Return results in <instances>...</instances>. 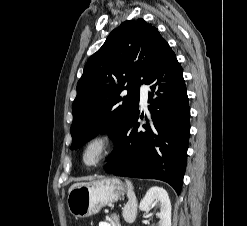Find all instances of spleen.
<instances>
[{"mask_svg": "<svg viewBox=\"0 0 247 226\" xmlns=\"http://www.w3.org/2000/svg\"><path fill=\"white\" fill-rule=\"evenodd\" d=\"M126 185L128 188L127 196H128V203L123 208V217L126 221H133L135 214H136V206L137 200L136 196L133 192V186L129 180H126Z\"/></svg>", "mask_w": 247, "mask_h": 226, "instance_id": "3e777b00", "label": "spleen"}]
</instances>
